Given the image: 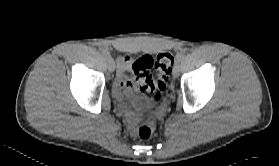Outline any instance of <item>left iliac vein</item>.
Instances as JSON below:
<instances>
[{
    "mask_svg": "<svg viewBox=\"0 0 279 166\" xmlns=\"http://www.w3.org/2000/svg\"><path fill=\"white\" fill-rule=\"evenodd\" d=\"M180 72V66L179 63H175L174 69H173V77H178Z\"/></svg>",
    "mask_w": 279,
    "mask_h": 166,
    "instance_id": "4c4485c4",
    "label": "left iliac vein"
}]
</instances>
